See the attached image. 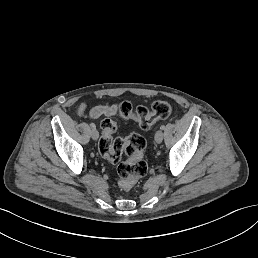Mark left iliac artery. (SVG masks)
I'll use <instances>...</instances> for the list:
<instances>
[{"label":"left iliac artery","instance_id":"1","mask_svg":"<svg viewBox=\"0 0 258 258\" xmlns=\"http://www.w3.org/2000/svg\"><path fill=\"white\" fill-rule=\"evenodd\" d=\"M164 129H165V125H161L160 130H164Z\"/></svg>","mask_w":258,"mask_h":258}]
</instances>
